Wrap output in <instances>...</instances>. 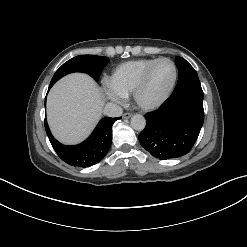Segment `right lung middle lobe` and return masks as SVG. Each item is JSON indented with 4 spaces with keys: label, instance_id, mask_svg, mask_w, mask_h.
Here are the masks:
<instances>
[{
    "label": "right lung middle lobe",
    "instance_id": "obj_1",
    "mask_svg": "<svg viewBox=\"0 0 247 247\" xmlns=\"http://www.w3.org/2000/svg\"><path fill=\"white\" fill-rule=\"evenodd\" d=\"M109 59L104 56L80 55L65 62L54 74L51 83L54 84L61 77L72 72H83L89 74L98 81L103 68Z\"/></svg>",
    "mask_w": 247,
    "mask_h": 247
}]
</instances>
